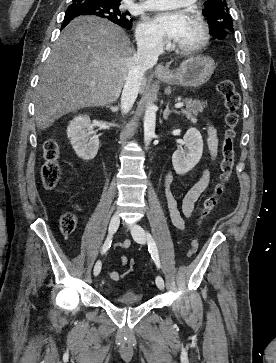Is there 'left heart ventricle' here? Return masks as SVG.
Segmentation results:
<instances>
[{
	"label": "left heart ventricle",
	"instance_id": "1",
	"mask_svg": "<svg viewBox=\"0 0 276 363\" xmlns=\"http://www.w3.org/2000/svg\"><path fill=\"white\" fill-rule=\"evenodd\" d=\"M200 38V28L190 17H187L183 33L175 43L177 45H191Z\"/></svg>",
	"mask_w": 276,
	"mask_h": 363
}]
</instances>
